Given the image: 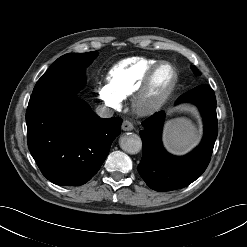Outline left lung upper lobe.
Segmentation results:
<instances>
[{"label":"left lung upper lobe","mask_w":247,"mask_h":247,"mask_svg":"<svg viewBox=\"0 0 247 247\" xmlns=\"http://www.w3.org/2000/svg\"><path fill=\"white\" fill-rule=\"evenodd\" d=\"M193 70L199 74V71L195 68V66H193Z\"/></svg>","instance_id":"left-lung-upper-lobe-1"}]
</instances>
